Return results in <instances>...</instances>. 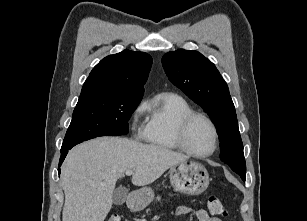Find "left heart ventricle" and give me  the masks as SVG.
<instances>
[{"instance_id": "left-heart-ventricle-1", "label": "left heart ventricle", "mask_w": 307, "mask_h": 221, "mask_svg": "<svg viewBox=\"0 0 307 221\" xmlns=\"http://www.w3.org/2000/svg\"><path fill=\"white\" fill-rule=\"evenodd\" d=\"M186 143L196 153L209 152L214 144L213 131L209 124L202 118L193 120L187 130Z\"/></svg>"}]
</instances>
